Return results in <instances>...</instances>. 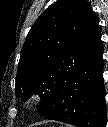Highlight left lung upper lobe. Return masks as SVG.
Listing matches in <instances>:
<instances>
[{"label": "left lung upper lobe", "mask_w": 108, "mask_h": 127, "mask_svg": "<svg viewBox=\"0 0 108 127\" xmlns=\"http://www.w3.org/2000/svg\"><path fill=\"white\" fill-rule=\"evenodd\" d=\"M90 4L86 0H59L49 6L29 31L21 50L16 95L26 100L42 94V113L54 98L62 79L71 44L78 35Z\"/></svg>", "instance_id": "1"}]
</instances>
